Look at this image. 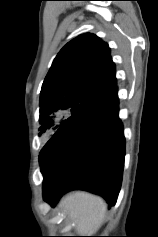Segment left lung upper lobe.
Returning a JSON list of instances; mask_svg holds the SVG:
<instances>
[{"label": "left lung upper lobe", "instance_id": "1", "mask_svg": "<svg viewBox=\"0 0 158 237\" xmlns=\"http://www.w3.org/2000/svg\"><path fill=\"white\" fill-rule=\"evenodd\" d=\"M115 85L108 45L94 34L76 37L58 53L43 82L39 135L56 131L68 116Z\"/></svg>", "mask_w": 158, "mask_h": 237}]
</instances>
